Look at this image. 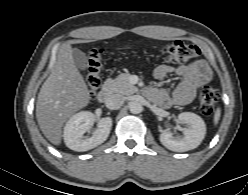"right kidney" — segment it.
I'll use <instances>...</instances> for the list:
<instances>
[{"label":"right kidney","mask_w":248,"mask_h":195,"mask_svg":"<svg viewBox=\"0 0 248 195\" xmlns=\"http://www.w3.org/2000/svg\"><path fill=\"white\" fill-rule=\"evenodd\" d=\"M94 121V114L89 111H81L70 117L63 131L66 146L71 150L82 152L93 149L106 141L112 127V119L110 117L99 119L93 135L84 136L93 126Z\"/></svg>","instance_id":"right-kidney-1"}]
</instances>
